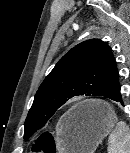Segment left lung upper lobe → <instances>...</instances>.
Listing matches in <instances>:
<instances>
[{
	"mask_svg": "<svg viewBox=\"0 0 130 153\" xmlns=\"http://www.w3.org/2000/svg\"><path fill=\"white\" fill-rule=\"evenodd\" d=\"M115 65L111 48L99 39L72 48L40 85L25 120L24 139L44 126L69 99L101 96Z\"/></svg>",
	"mask_w": 130,
	"mask_h": 153,
	"instance_id": "5c2ea615",
	"label": "left lung upper lobe"
}]
</instances>
